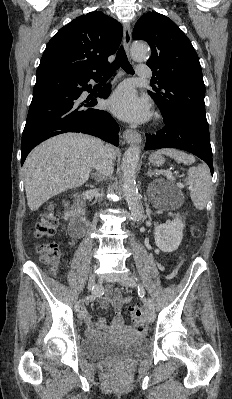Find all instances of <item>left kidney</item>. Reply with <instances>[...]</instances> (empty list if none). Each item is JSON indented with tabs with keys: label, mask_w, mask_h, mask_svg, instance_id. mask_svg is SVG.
Here are the masks:
<instances>
[{
	"label": "left kidney",
	"mask_w": 232,
	"mask_h": 399,
	"mask_svg": "<svg viewBox=\"0 0 232 399\" xmlns=\"http://www.w3.org/2000/svg\"><path fill=\"white\" fill-rule=\"evenodd\" d=\"M185 223L181 221L179 213L170 223H160L155 227L154 239L157 247L162 251H174L179 247Z\"/></svg>",
	"instance_id": "5707ae66"
}]
</instances>
